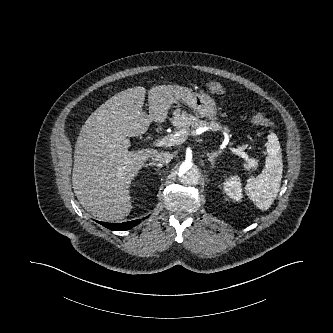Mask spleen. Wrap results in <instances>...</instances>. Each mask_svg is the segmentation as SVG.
<instances>
[{
	"mask_svg": "<svg viewBox=\"0 0 333 333\" xmlns=\"http://www.w3.org/2000/svg\"><path fill=\"white\" fill-rule=\"evenodd\" d=\"M266 149L267 157L263 172L256 177H250L245 185L249 198L260 210L269 209L277 197L283 171L281 147L274 133L268 135Z\"/></svg>",
	"mask_w": 333,
	"mask_h": 333,
	"instance_id": "obj_1",
	"label": "spleen"
}]
</instances>
